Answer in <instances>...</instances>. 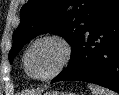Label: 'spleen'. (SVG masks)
<instances>
[{"instance_id":"obj_1","label":"spleen","mask_w":119,"mask_h":95,"mask_svg":"<svg viewBox=\"0 0 119 95\" xmlns=\"http://www.w3.org/2000/svg\"><path fill=\"white\" fill-rule=\"evenodd\" d=\"M88 87L91 90L92 95H118L111 90H108L95 84H88Z\"/></svg>"}]
</instances>
